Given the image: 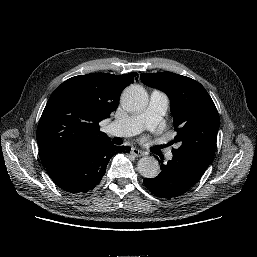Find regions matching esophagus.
I'll return each instance as SVG.
<instances>
[{
  "label": "esophagus",
  "instance_id": "1",
  "mask_svg": "<svg viewBox=\"0 0 257 257\" xmlns=\"http://www.w3.org/2000/svg\"><path fill=\"white\" fill-rule=\"evenodd\" d=\"M130 153L136 157H141L144 155V152H142L141 150L137 149V148H131Z\"/></svg>",
  "mask_w": 257,
  "mask_h": 257
}]
</instances>
